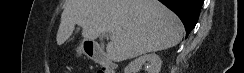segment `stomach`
I'll list each match as a JSON object with an SVG mask.
<instances>
[{
  "mask_svg": "<svg viewBox=\"0 0 244 73\" xmlns=\"http://www.w3.org/2000/svg\"><path fill=\"white\" fill-rule=\"evenodd\" d=\"M85 45H84V43H82L78 48H77V52L79 53V54H81V53H84V54H86V50H85Z\"/></svg>",
  "mask_w": 244,
  "mask_h": 73,
  "instance_id": "0dacf381",
  "label": "stomach"
}]
</instances>
